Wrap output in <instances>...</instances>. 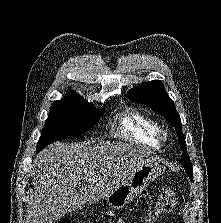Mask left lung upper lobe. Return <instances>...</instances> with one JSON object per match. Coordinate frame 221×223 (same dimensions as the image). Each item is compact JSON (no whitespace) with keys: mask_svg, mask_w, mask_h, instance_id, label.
I'll return each mask as SVG.
<instances>
[{"mask_svg":"<svg viewBox=\"0 0 221 223\" xmlns=\"http://www.w3.org/2000/svg\"><path fill=\"white\" fill-rule=\"evenodd\" d=\"M128 98L136 103L145 104L153 110L158 111L162 116L176 127V133L180 137V146L183 150L181 163L191 181H193L192 164L187 153L186 142L182 132V124L179 114L176 111L174 102L167 95L161 81L153 80L144 82L127 93Z\"/></svg>","mask_w":221,"mask_h":223,"instance_id":"obj_1","label":"left lung upper lobe"}]
</instances>
